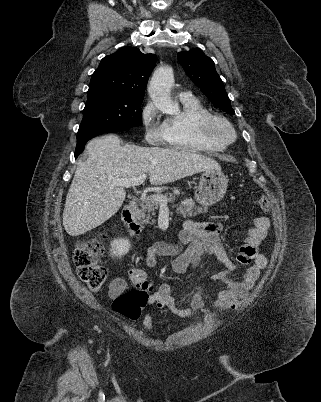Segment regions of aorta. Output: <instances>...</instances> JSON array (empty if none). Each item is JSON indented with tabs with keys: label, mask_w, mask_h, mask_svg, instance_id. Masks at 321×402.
Masks as SVG:
<instances>
[{
	"label": "aorta",
	"mask_w": 321,
	"mask_h": 402,
	"mask_svg": "<svg viewBox=\"0 0 321 402\" xmlns=\"http://www.w3.org/2000/svg\"><path fill=\"white\" fill-rule=\"evenodd\" d=\"M174 82L173 69L165 66L158 68L150 81L148 93L153 104L162 112L173 114L178 106L172 103L171 87Z\"/></svg>",
	"instance_id": "obj_1"
}]
</instances>
